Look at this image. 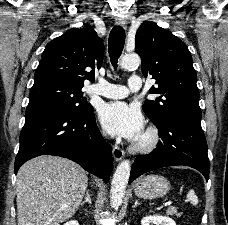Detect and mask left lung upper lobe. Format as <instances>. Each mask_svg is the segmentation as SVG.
<instances>
[{
  "instance_id": "left-lung-upper-lobe-1",
  "label": "left lung upper lobe",
  "mask_w": 228,
  "mask_h": 225,
  "mask_svg": "<svg viewBox=\"0 0 228 225\" xmlns=\"http://www.w3.org/2000/svg\"><path fill=\"white\" fill-rule=\"evenodd\" d=\"M135 50L143 75L156 80L150 93L160 95L144 102L148 118L155 125L172 116L201 120L197 75L186 44L157 24L144 22L135 36Z\"/></svg>"
}]
</instances>
